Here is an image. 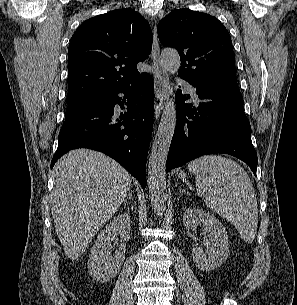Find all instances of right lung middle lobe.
<instances>
[{"instance_id":"right-lung-middle-lobe-1","label":"right lung middle lobe","mask_w":297,"mask_h":305,"mask_svg":"<svg viewBox=\"0 0 297 305\" xmlns=\"http://www.w3.org/2000/svg\"><path fill=\"white\" fill-rule=\"evenodd\" d=\"M103 99H104V96H95V97H90V98L68 103L65 119H68V118L86 110L87 108L100 103L101 101H103Z\"/></svg>"}]
</instances>
